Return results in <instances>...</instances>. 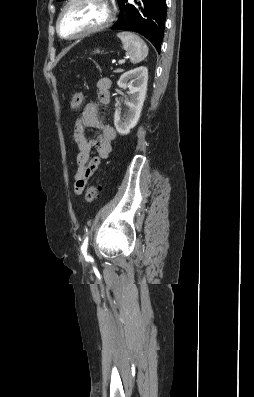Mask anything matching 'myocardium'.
<instances>
[{
	"mask_svg": "<svg viewBox=\"0 0 254 397\" xmlns=\"http://www.w3.org/2000/svg\"><path fill=\"white\" fill-rule=\"evenodd\" d=\"M77 1L78 0H67V2L64 4V6L62 7V9H61V11H60V13H59V15L57 17L56 30H57L58 35L60 37H62L63 39L73 40V39L81 38V37H84V36L99 32V31L107 28L113 22V20L115 18V10H114V7H113L112 3L109 0H98V1L102 2L107 7L108 13H107L106 19L102 23H100V24H98V25H96L94 27L85 29V30H83V31H81L79 33H76V34H73V35H64L61 32V28H60L61 19H62L63 15L65 14L66 10L73 3L77 2Z\"/></svg>",
	"mask_w": 254,
	"mask_h": 397,
	"instance_id": "myocardium-1",
	"label": "myocardium"
}]
</instances>
